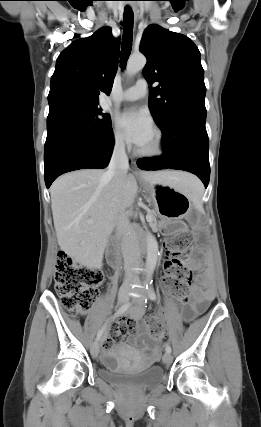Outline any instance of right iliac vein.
<instances>
[{
    "label": "right iliac vein",
    "mask_w": 261,
    "mask_h": 427,
    "mask_svg": "<svg viewBox=\"0 0 261 427\" xmlns=\"http://www.w3.org/2000/svg\"><path fill=\"white\" fill-rule=\"evenodd\" d=\"M129 299L128 293L126 291H120L118 294V303L123 304L126 303ZM90 352L93 358H96L99 354V343L95 341L92 343Z\"/></svg>",
    "instance_id": "obj_1"
}]
</instances>
